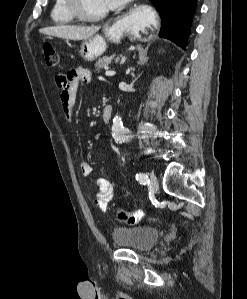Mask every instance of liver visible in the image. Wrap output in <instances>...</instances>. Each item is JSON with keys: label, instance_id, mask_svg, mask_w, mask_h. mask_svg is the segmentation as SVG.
Segmentation results:
<instances>
[{"label": "liver", "instance_id": "obj_1", "mask_svg": "<svg viewBox=\"0 0 247 299\" xmlns=\"http://www.w3.org/2000/svg\"><path fill=\"white\" fill-rule=\"evenodd\" d=\"M100 29V26H72V25H57L52 27H44L39 30L40 33L58 38L69 40H86L95 35Z\"/></svg>", "mask_w": 247, "mask_h": 299}]
</instances>
